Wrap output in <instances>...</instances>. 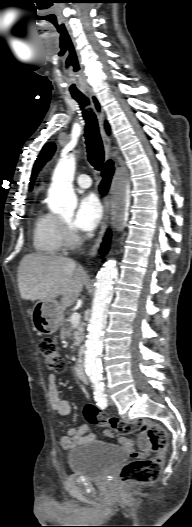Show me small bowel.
<instances>
[{
    "instance_id": "small-bowel-1",
    "label": "small bowel",
    "mask_w": 192,
    "mask_h": 527,
    "mask_svg": "<svg viewBox=\"0 0 192 527\" xmlns=\"http://www.w3.org/2000/svg\"><path fill=\"white\" fill-rule=\"evenodd\" d=\"M47 394H48L50 405L54 411H56L61 416H68L70 414L71 403L67 398L61 397L60 392L58 390L56 377L53 374L49 375L48 377ZM138 431L140 432L141 452H137L134 450L133 443L129 438L122 436L119 439V444L122 447H124L126 450L129 451L128 458L130 460H135L136 458L140 456L149 454L152 450L145 436L146 432L141 431V430H138ZM104 434L107 437L113 436V432L111 430H105ZM122 435H125V434H122ZM93 440H94V434L90 431L89 427L87 425H81L78 427L69 428L67 432L60 437V445L63 449L69 450V449L84 445L86 443H89Z\"/></svg>"
}]
</instances>
